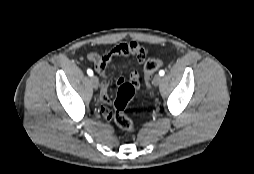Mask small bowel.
Returning a JSON list of instances; mask_svg holds the SVG:
<instances>
[{
  "mask_svg": "<svg viewBox=\"0 0 254 174\" xmlns=\"http://www.w3.org/2000/svg\"><path fill=\"white\" fill-rule=\"evenodd\" d=\"M122 55H132L140 63L144 62L146 59V52L141 46L136 45L134 47H130L127 44L118 45L103 56L94 53L88 55V60L95 65L96 70L103 78L100 91L101 113L103 117L107 120H110L112 118V111L110 109V100L108 96L109 75L107 74L106 68L113 60H115L118 56ZM129 82L133 83L137 87L139 86L140 74L137 70H133L130 73ZM123 83H125V79L119 77L117 79V84L121 85Z\"/></svg>",
  "mask_w": 254,
  "mask_h": 174,
  "instance_id": "c3829d8e",
  "label": "small bowel"
}]
</instances>
